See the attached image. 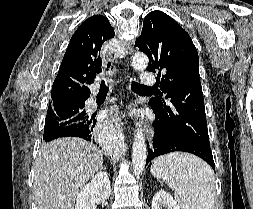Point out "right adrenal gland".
Wrapping results in <instances>:
<instances>
[{
	"label": "right adrenal gland",
	"mask_w": 253,
	"mask_h": 209,
	"mask_svg": "<svg viewBox=\"0 0 253 209\" xmlns=\"http://www.w3.org/2000/svg\"><path fill=\"white\" fill-rule=\"evenodd\" d=\"M102 169H103V170H106V168H105V167H103V166H102Z\"/></svg>",
	"instance_id": "right-adrenal-gland-1"
}]
</instances>
